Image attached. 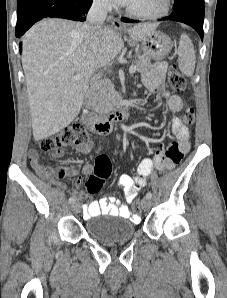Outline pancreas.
Instances as JSON below:
<instances>
[{
  "instance_id": "1",
  "label": "pancreas",
  "mask_w": 227,
  "mask_h": 298,
  "mask_svg": "<svg viewBox=\"0 0 227 298\" xmlns=\"http://www.w3.org/2000/svg\"><path fill=\"white\" fill-rule=\"evenodd\" d=\"M133 65L136 66V70L140 73H144L152 66L147 55H138L133 61ZM95 99L94 110L99 114L110 113L121 101L120 94L115 91L114 85L108 79L100 82Z\"/></svg>"
}]
</instances>
